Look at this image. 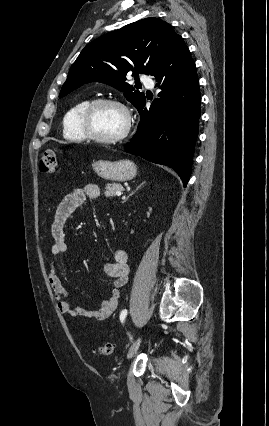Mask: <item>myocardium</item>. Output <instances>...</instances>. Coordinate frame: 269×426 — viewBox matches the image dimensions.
<instances>
[{"mask_svg":"<svg viewBox=\"0 0 269 426\" xmlns=\"http://www.w3.org/2000/svg\"><path fill=\"white\" fill-rule=\"evenodd\" d=\"M102 105L115 106L119 108L124 114V117H125L124 128L116 136L109 137V138L101 137L96 135L91 129L90 118L92 116V113L94 112L96 108ZM80 121H81L82 130L86 138L98 143H102V144H116L123 141L130 133L131 126H132V117H131L129 109L122 102L116 99H111V98H98V99L92 100L83 110Z\"/></svg>","mask_w":269,"mask_h":426,"instance_id":"1","label":"myocardium"}]
</instances>
